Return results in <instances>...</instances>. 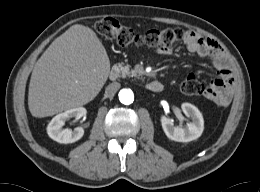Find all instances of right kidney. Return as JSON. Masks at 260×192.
<instances>
[{
    "mask_svg": "<svg viewBox=\"0 0 260 192\" xmlns=\"http://www.w3.org/2000/svg\"><path fill=\"white\" fill-rule=\"evenodd\" d=\"M84 107H76L66 110L63 113L56 115L47 126V133L51 139L59 143H73L78 141L84 135L82 127H76L74 130L63 128L65 122L70 118L80 119L86 116Z\"/></svg>",
    "mask_w": 260,
    "mask_h": 192,
    "instance_id": "right-kidney-1",
    "label": "right kidney"
}]
</instances>
